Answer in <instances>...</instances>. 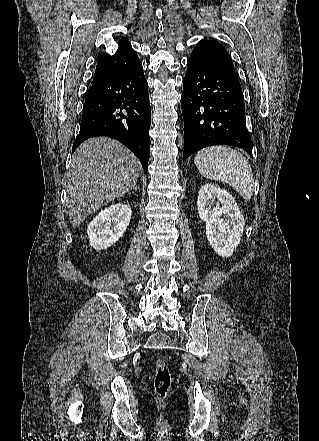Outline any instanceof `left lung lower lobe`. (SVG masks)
Segmentation results:
<instances>
[{
  "label": "left lung lower lobe",
  "mask_w": 319,
  "mask_h": 441,
  "mask_svg": "<svg viewBox=\"0 0 319 441\" xmlns=\"http://www.w3.org/2000/svg\"><path fill=\"white\" fill-rule=\"evenodd\" d=\"M181 104L183 161L196 151L213 145H232L252 155L244 96L238 79L190 56Z\"/></svg>",
  "instance_id": "1"
}]
</instances>
